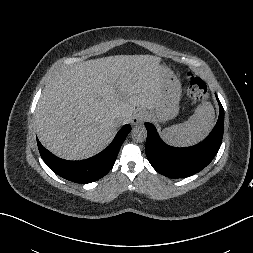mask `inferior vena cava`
<instances>
[{
	"label": "inferior vena cava",
	"mask_w": 253,
	"mask_h": 253,
	"mask_svg": "<svg viewBox=\"0 0 253 253\" xmlns=\"http://www.w3.org/2000/svg\"><path fill=\"white\" fill-rule=\"evenodd\" d=\"M129 121L128 117H118L114 120V128L116 130H121L123 128V126H125L127 124V122Z\"/></svg>",
	"instance_id": "inferior-vena-cava-1"
}]
</instances>
